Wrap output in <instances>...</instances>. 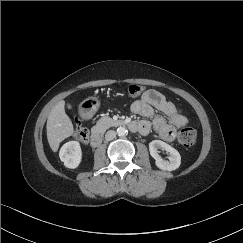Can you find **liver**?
Segmentation results:
<instances>
[{"instance_id":"liver-1","label":"liver","mask_w":243,"mask_h":243,"mask_svg":"<svg viewBox=\"0 0 243 243\" xmlns=\"http://www.w3.org/2000/svg\"><path fill=\"white\" fill-rule=\"evenodd\" d=\"M47 139L50 148L56 152L60 143L73 135L74 127L71 119L65 113V101H59L50 111L47 119Z\"/></svg>"}]
</instances>
